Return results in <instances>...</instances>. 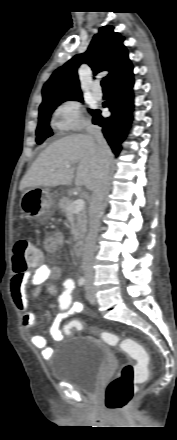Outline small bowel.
I'll use <instances>...</instances> for the list:
<instances>
[{
    "label": "small bowel",
    "instance_id": "1",
    "mask_svg": "<svg viewBox=\"0 0 177 440\" xmlns=\"http://www.w3.org/2000/svg\"><path fill=\"white\" fill-rule=\"evenodd\" d=\"M65 242L64 235L56 230L48 233L44 240V248L47 252L57 251ZM62 274V269L58 265L40 262L35 265L33 271L16 272L10 281V293L12 300L21 312L22 325L25 328H31L37 323V315L30 309L28 296L26 293L27 285L33 288V296L38 298L41 291L45 289L50 295H57L58 289L55 284ZM63 291L58 294L57 301L59 312L55 316L51 326V336L53 340L60 341L63 333L60 329L62 322L69 316L85 311L84 305L76 301L73 297L75 282L71 278L63 281ZM32 345L41 351L43 358L48 359L52 354V348L48 346L47 339L43 335H33Z\"/></svg>",
    "mask_w": 177,
    "mask_h": 440
}]
</instances>
